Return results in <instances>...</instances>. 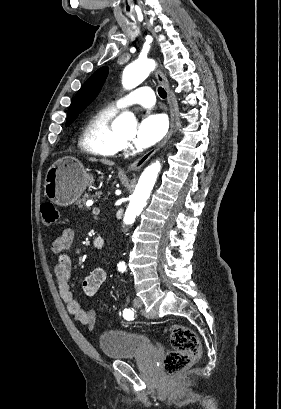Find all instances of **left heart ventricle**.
Returning <instances> with one entry per match:
<instances>
[{
  "instance_id": "left-heart-ventricle-1",
  "label": "left heart ventricle",
  "mask_w": 281,
  "mask_h": 409,
  "mask_svg": "<svg viewBox=\"0 0 281 409\" xmlns=\"http://www.w3.org/2000/svg\"><path fill=\"white\" fill-rule=\"evenodd\" d=\"M119 135L129 144L133 142L136 129H116Z\"/></svg>"
}]
</instances>
